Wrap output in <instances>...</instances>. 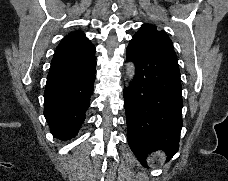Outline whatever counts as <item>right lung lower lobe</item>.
Listing matches in <instances>:
<instances>
[{"instance_id": "obj_1", "label": "right lung lower lobe", "mask_w": 228, "mask_h": 181, "mask_svg": "<svg viewBox=\"0 0 228 181\" xmlns=\"http://www.w3.org/2000/svg\"><path fill=\"white\" fill-rule=\"evenodd\" d=\"M95 47L52 60L44 92L50 132L67 140L79 130L89 107L95 76Z\"/></svg>"}]
</instances>
